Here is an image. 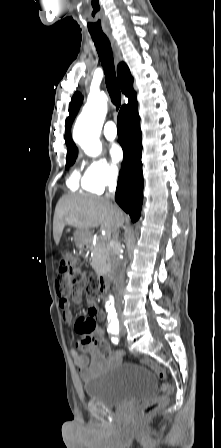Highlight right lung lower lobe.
<instances>
[{"instance_id":"1","label":"right lung lower lobe","mask_w":221,"mask_h":448,"mask_svg":"<svg viewBox=\"0 0 221 448\" xmlns=\"http://www.w3.org/2000/svg\"><path fill=\"white\" fill-rule=\"evenodd\" d=\"M118 137L124 158L115 200L135 222L140 217L143 202L141 130L136 100L122 107L118 114Z\"/></svg>"}]
</instances>
